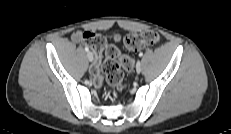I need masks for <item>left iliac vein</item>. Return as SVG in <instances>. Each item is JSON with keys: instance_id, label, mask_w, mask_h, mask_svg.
<instances>
[{"instance_id": "obj_1", "label": "left iliac vein", "mask_w": 231, "mask_h": 134, "mask_svg": "<svg viewBox=\"0 0 231 134\" xmlns=\"http://www.w3.org/2000/svg\"><path fill=\"white\" fill-rule=\"evenodd\" d=\"M141 70H142L141 63H140V61H138L137 65H136V71H137V73H140Z\"/></svg>"}]
</instances>
